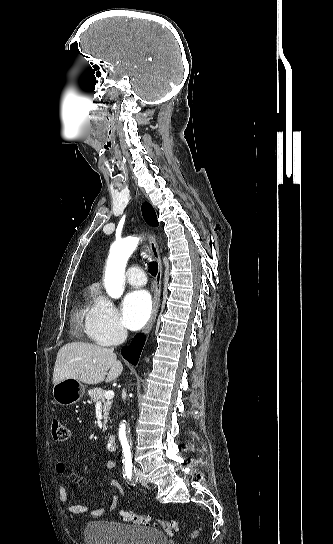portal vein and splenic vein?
Wrapping results in <instances>:
<instances>
[{
    "label": "portal vein and splenic vein",
    "mask_w": 333,
    "mask_h": 544,
    "mask_svg": "<svg viewBox=\"0 0 333 544\" xmlns=\"http://www.w3.org/2000/svg\"><path fill=\"white\" fill-rule=\"evenodd\" d=\"M113 397H114V392L112 390L105 392L106 399H112Z\"/></svg>",
    "instance_id": "18ae733b"
}]
</instances>
